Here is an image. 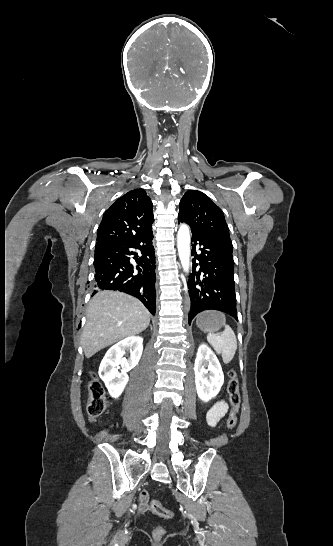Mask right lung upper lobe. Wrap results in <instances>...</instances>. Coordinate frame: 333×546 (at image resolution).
<instances>
[{
	"label": "right lung upper lobe",
	"instance_id": "right-lung-upper-lobe-1",
	"mask_svg": "<svg viewBox=\"0 0 333 546\" xmlns=\"http://www.w3.org/2000/svg\"><path fill=\"white\" fill-rule=\"evenodd\" d=\"M153 205L145 190L129 191L104 213L97 231V242L143 234L152 230Z\"/></svg>",
	"mask_w": 333,
	"mask_h": 546
}]
</instances>
